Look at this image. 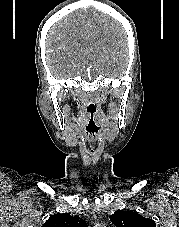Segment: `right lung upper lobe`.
Masks as SVG:
<instances>
[{
    "instance_id": "obj_1",
    "label": "right lung upper lobe",
    "mask_w": 179,
    "mask_h": 227,
    "mask_svg": "<svg viewBox=\"0 0 179 227\" xmlns=\"http://www.w3.org/2000/svg\"><path fill=\"white\" fill-rule=\"evenodd\" d=\"M42 227H87L86 222L79 216L70 214H55L44 223Z\"/></svg>"
}]
</instances>
